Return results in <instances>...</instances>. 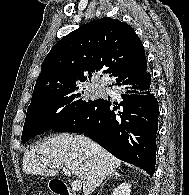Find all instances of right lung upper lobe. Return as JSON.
I'll return each mask as SVG.
<instances>
[{
    "mask_svg": "<svg viewBox=\"0 0 189 195\" xmlns=\"http://www.w3.org/2000/svg\"><path fill=\"white\" fill-rule=\"evenodd\" d=\"M146 66L142 42L132 27L117 19L94 20L63 37L47 54L31 102L91 80L99 70L115 80Z\"/></svg>",
    "mask_w": 189,
    "mask_h": 195,
    "instance_id": "1",
    "label": "right lung upper lobe"
}]
</instances>
